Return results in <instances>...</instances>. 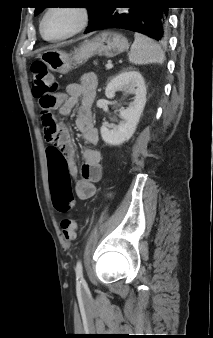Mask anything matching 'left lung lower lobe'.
Masks as SVG:
<instances>
[{
    "label": "left lung lower lobe",
    "instance_id": "left-lung-lower-lobe-1",
    "mask_svg": "<svg viewBox=\"0 0 213 338\" xmlns=\"http://www.w3.org/2000/svg\"><path fill=\"white\" fill-rule=\"evenodd\" d=\"M119 5H132L121 10ZM168 8L160 0H102L100 11L85 33L120 28L143 33L165 42L168 35Z\"/></svg>",
    "mask_w": 213,
    "mask_h": 338
}]
</instances>
